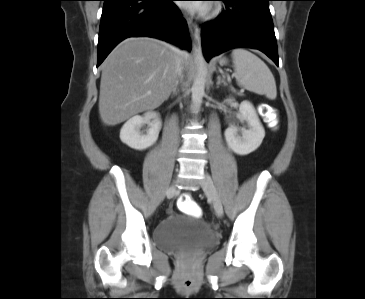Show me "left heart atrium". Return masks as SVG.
I'll use <instances>...</instances> for the list:
<instances>
[{
  "instance_id": "39dd6f15",
  "label": "left heart atrium",
  "mask_w": 365,
  "mask_h": 299,
  "mask_svg": "<svg viewBox=\"0 0 365 299\" xmlns=\"http://www.w3.org/2000/svg\"><path fill=\"white\" fill-rule=\"evenodd\" d=\"M184 6L188 9H192V10H202L204 8V4H201V3L184 4Z\"/></svg>"
}]
</instances>
